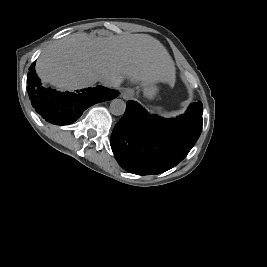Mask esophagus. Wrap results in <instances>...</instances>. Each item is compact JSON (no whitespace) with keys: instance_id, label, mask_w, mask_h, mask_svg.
Here are the masks:
<instances>
[{"instance_id":"esophagus-1","label":"esophagus","mask_w":267,"mask_h":267,"mask_svg":"<svg viewBox=\"0 0 267 267\" xmlns=\"http://www.w3.org/2000/svg\"><path fill=\"white\" fill-rule=\"evenodd\" d=\"M121 96L125 100L131 99L134 96V91L132 89H124Z\"/></svg>"}]
</instances>
